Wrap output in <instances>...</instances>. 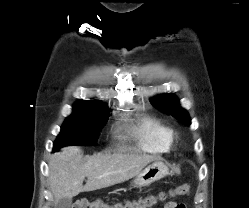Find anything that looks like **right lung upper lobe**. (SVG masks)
Masks as SVG:
<instances>
[{
    "label": "right lung upper lobe",
    "mask_w": 249,
    "mask_h": 208,
    "mask_svg": "<svg viewBox=\"0 0 249 208\" xmlns=\"http://www.w3.org/2000/svg\"><path fill=\"white\" fill-rule=\"evenodd\" d=\"M74 109H88L98 112L109 111V109L98 100H79L74 104Z\"/></svg>",
    "instance_id": "right-lung-upper-lobe-1"
}]
</instances>
